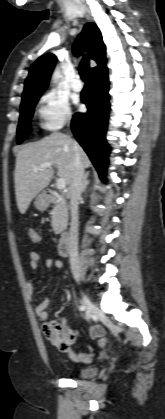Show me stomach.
<instances>
[{"label":"stomach","instance_id":"obj_1","mask_svg":"<svg viewBox=\"0 0 165 419\" xmlns=\"http://www.w3.org/2000/svg\"><path fill=\"white\" fill-rule=\"evenodd\" d=\"M34 205L38 210H44L47 206V202L43 200L42 196H38L34 202Z\"/></svg>","mask_w":165,"mask_h":419}]
</instances>
